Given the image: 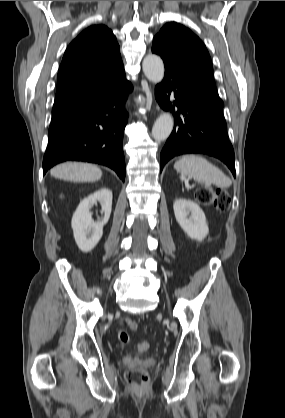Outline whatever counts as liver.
Listing matches in <instances>:
<instances>
[{
  "mask_svg": "<svg viewBox=\"0 0 285 418\" xmlns=\"http://www.w3.org/2000/svg\"><path fill=\"white\" fill-rule=\"evenodd\" d=\"M50 174L58 179L73 182H94L102 177L97 166L87 163L67 162L54 167Z\"/></svg>",
  "mask_w": 285,
  "mask_h": 418,
  "instance_id": "1",
  "label": "liver"
}]
</instances>
